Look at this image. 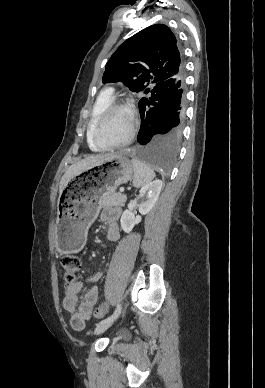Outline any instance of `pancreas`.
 I'll list each match as a JSON object with an SVG mask.
<instances>
[{"instance_id": "pancreas-1", "label": "pancreas", "mask_w": 265, "mask_h": 388, "mask_svg": "<svg viewBox=\"0 0 265 388\" xmlns=\"http://www.w3.org/2000/svg\"><path fill=\"white\" fill-rule=\"evenodd\" d=\"M126 202V196L124 194H113V192H105L100 196L99 206H124Z\"/></svg>"}]
</instances>
